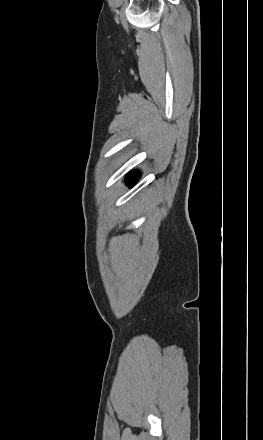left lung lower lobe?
Here are the masks:
<instances>
[{
  "label": "left lung lower lobe",
  "mask_w": 263,
  "mask_h": 440,
  "mask_svg": "<svg viewBox=\"0 0 263 440\" xmlns=\"http://www.w3.org/2000/svg\"><path fill=\"white\" fill-rule=\"evenodd\" d=\"M138 179V174L136 172H132L127 176V181L130 185H133Z\"/></svg>",
  "instance_id": "obj_1"
}]
</instances>
